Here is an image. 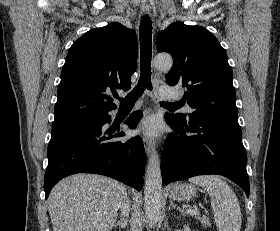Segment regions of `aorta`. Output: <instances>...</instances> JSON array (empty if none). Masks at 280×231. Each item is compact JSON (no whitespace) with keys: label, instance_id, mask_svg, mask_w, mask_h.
<instances>
[{"label":"aorta","instance_id":"1","mask_svg":"<svg viewBox=\"0 0 280 231\" xmlns=\"http://www.w3.org/2000/svg\"><path fill=\"white\" fill-rule=\"evenodd\" d=\"M172 58L169 54H159L153 60L156 70H170L172 68ZM162 175L160 169V159L157 151L149 157L147 171L145 175L144 207L145 217L149 227H153L162 209Z\"/></svg>","mask_w":280,"mask_h":231}]
</instances>
